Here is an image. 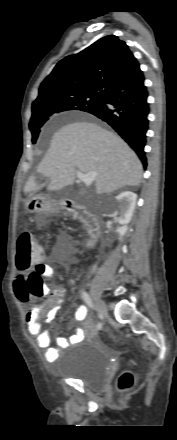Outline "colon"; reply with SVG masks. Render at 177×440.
<instances>
[{
  "instance_id": "colon-1",
  "label": "colon",
  "mask_w": 177,
  "mask_h": 440,
  "mask_svg": "<svg viewBox=\"0 0 177 440\" xmlns=\"http://www.w3.org/2000/svg\"><path fill=\"white\" fill-rule=\"evenodd\" d=\"M46 249L38 244L32 233H23L17 241L16 266L19 271L32 272L26 283L22 284L25 289L23 300L26 301L29 296L36 298L42 297L47 288L44 284V276L47 267L44 264ZM133 385V375L125 371L118 379V389L120 392L129 390Z\"/></svg>"
}]
</instances>
